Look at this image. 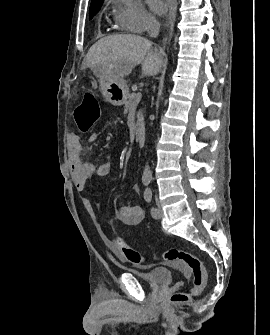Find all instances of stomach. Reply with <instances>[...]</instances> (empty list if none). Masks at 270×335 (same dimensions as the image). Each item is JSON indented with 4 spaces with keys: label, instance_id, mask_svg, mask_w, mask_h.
I'll use <instances>...</instances> for the list:
<instances>
[{
    "label": "stomach",
    "instance_id": "stomach-1",
    "mask_svg": "<svg viewBox=\"0 0 270 335\" xmlns=\"http://www.w3.org/2000/svg\"><path fill=\"white\" fill-rule=\"evenodd\" d=\"M100 92L113 106H123L128 96V86L126 82L116 80V70L114 67H99Z\"/></svg>",
    "mask_w": 270,
    "mask_h": 335
}]
</instances>
